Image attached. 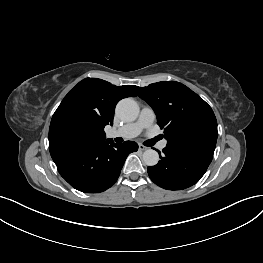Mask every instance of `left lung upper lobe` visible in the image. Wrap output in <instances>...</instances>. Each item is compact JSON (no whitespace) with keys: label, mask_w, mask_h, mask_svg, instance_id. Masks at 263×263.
<instances>
[{"label":"left lung upper lobe","mask_w":263,"mask_h":263,"mask_svg":"<svg viewBox=\"0 0 263 263\" xmlns=\"http://www.w3.org/2000/svg\"><path fill=\"white\" fill-rule=\"evenodd\" d=\"M157 115L169 148L213 158L217 121L211 107L182 83L163 81L133 86Z\"/></svg>","instance_id":"obj_1"}]
</instances>
